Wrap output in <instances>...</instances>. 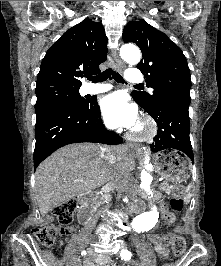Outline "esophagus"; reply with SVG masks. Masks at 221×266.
Returning a JSON list of instances; mask_svg holds the SVG:
<instances>
[{
	"label": "esophagus",
	"instance_id": "obj_1",
	"mask_svg": "<svg viewBox=\"0 0 221 266\" xmlns=\"http://www.w3.org/2000/svg\"><path fill=\"white\" fill-rule=\"evenodd\" d=\"M113 56H114V59H115V61H116L117 70H118L119 72H123L124 69H125V65H124V63L118 58V56H117L116 53H113ZM129 145H131V144H129ZM137 151H138V152H141L140 149H137Z\"/></svg>",
	"mask_w": 221,
	"mask_h": 266
}]
</instances>
